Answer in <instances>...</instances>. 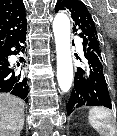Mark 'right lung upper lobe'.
<instances>
[{
    "mask_svg": "<svg viewBox=\"0 0 117 136\" xmlns=\"http://www.w3.org/2000/svg\"><path fill=\"white\" fill-rule=\"evenodd\" d=\"M25 6L20 0H0V50L26 26Z\"/></svg>",
    "mask_w": 117,
    "mask_h": 136,
    "instance_id": "cb5924a9",
    "label": "right lung upper lobe"
}]
</instances>
